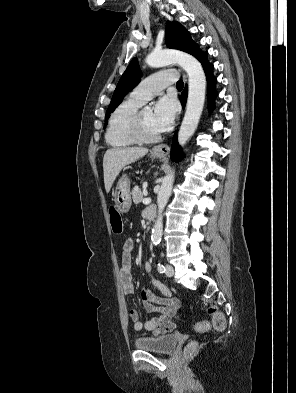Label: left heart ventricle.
<instances>
[{
  "label": "left heart ventricle",
  "instance_id": "obj_1",
  "mask_svg": "<svg viewBox=\"0 0 296 393\" xmlns=\"http://www.w3.org/2000/svg\"><path fill=\"white\" fill-rule=\"evenodd\" d=\"M141 119L144 126V129L147 134L155 135L158 132L152 126V112L151 111H142L141 112Z\"/></svg>",
  "mask_w": 296,
  "mask_h": 393
}]
</instances>
